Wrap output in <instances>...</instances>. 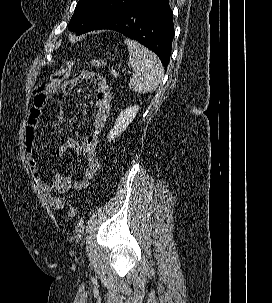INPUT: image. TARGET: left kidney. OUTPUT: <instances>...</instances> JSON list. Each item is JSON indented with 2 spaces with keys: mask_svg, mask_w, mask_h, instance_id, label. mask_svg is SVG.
<instances>
[{
  "mask_svg": "<svg viewBox=\"0 0 272 303\" xmlns=\"http://www.w3.org/2000/svg\"><path fill=\"white\" fill-rule=\"evenodd\" d=\"M138 110L139 106L134 105L120 112L118 118L116 119L114 127L110 130L108 134V142H111L112 140L114 141L115 138L120 136L122 132L127 129L129 124L136 117Z\"/></svg>",
  "mask_w": 272,
  "mask_h": 303,
  "instance_id": "5707ae66",
  "label": "left kidney"
}]
</instances>
